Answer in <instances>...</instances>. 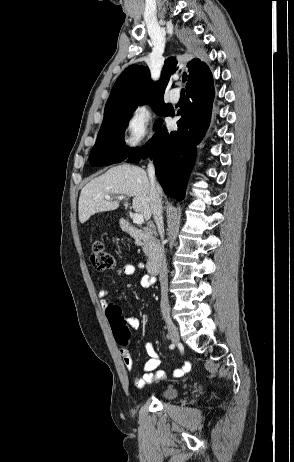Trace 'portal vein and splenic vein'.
Masks as SVG:
<instances>
[{"mask_svg":"<svg viewBox=\"0 0 294 462\" xmlns=\"http://www.w3.org/2000/svg\"><path fill=\"white\" fill-rule=\"evenodd\" d=\"M115 198L118 199V200H122L124 198V196H118V197H115ZM105 199L110 200L111 196L110 195H105ZM133 222L138 224V225L143 224L144 223L143 215H141L139 213L133 214Z\"/></svg>","mask_w":294,"mask_h":462,"instance_id":"portal-vein-and-splenic-vein-1","label":"portal vein and splenic vein"}]
</instances>
